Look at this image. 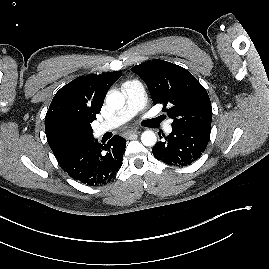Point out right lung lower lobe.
<instances>
[{
  "label": "right lung lower lobe",
  "instance_id": "1",
  "mask_svg": "<svg viewBox=\"0 0 269 269\" xmlns=\"http://www.w3.org/2000/svg\"><path fill=\"white\" fill-rule=\"evenodd\" d=\"M125 147L126 140L118 135L104 145L92 138L57 161L71 178L89 186L103 185L119 171Z\"/></svg>",
  "mask_w": 269,
  "mask_h": 269
}]
</instances>
